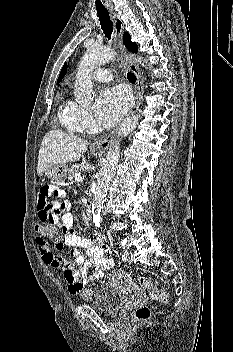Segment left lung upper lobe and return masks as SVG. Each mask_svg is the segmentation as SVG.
Listing matches in <instances>:
<instances>
[{
  "label": "left lung upper lobe",
  "instance_id": "obj_1",
  "mask_svg": "<svg viewBox=\"0 0 233 352\" xmlns=\"http://www.w3.org/2000/svg\"><path fill=\"white\" fill-rule=\"evenodd\" d=\"M123 42L130 51L136 52L138 50L136 43L131 42V38L128 33H124Z\"/></svg>",
  "mask_w": 233,
  "mask_h": 352
}]
</instances>
